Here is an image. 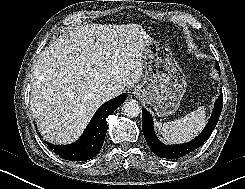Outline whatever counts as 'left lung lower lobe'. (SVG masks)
<instances>
[{"label":"left lung lower lobe","instance_id":"obj_1","mask_svg":"<svg viewBox=\"0 0 245 189\" xmlns=\"http://www.w3.org/2000/svg\"><path fill=\"white\" fill-rule=\"evenodd\" d=\"M216 69L220 72L218 62H216ZM222 94L215 103L211 118L204 130L192 141L181 145H164L161 143L154 132L153 119L151 114L145 109H142V130L146 142L152 152L162 158H180L189 154L202 145L212 134L222 110Z\"/></svg>","mask_w":245,"mask_h":189}]
</instances>
